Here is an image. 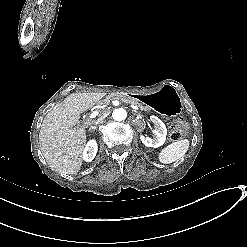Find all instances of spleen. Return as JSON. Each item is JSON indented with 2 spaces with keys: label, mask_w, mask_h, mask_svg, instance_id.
Instances as JSON below:
<instances>
[{
  "label": "spleen",
  "mask_w": 247,
  "mask_h": 247,
  "mask_svg": "<svg viewBox=\"0 0 247 247\" xmlns=\"http://www.w3.org/2000/svg\"><path fill=\"white\" fill-rule=\"evenodd\" d=\"M189 146L190 143L188 139L176 140L160 150L158 161L165 165L172 164L188 152Z\"/></svg>",
  "instance_id": "spleen-1"
}]
</instances>
